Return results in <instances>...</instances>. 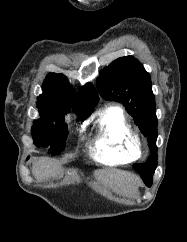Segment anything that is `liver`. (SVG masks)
I'll use <instances>...</instances> for the list:
<instances>
[{
    "label": "liver",
    "mask_w": 187,
    "mask_h": 242,
    "mask_svg": "<svg viewBox=\"0 0 187 242\" xmlns=\"http://www.w3.org/2000/svg\"><path fill=\"white\" fill-rule=\"evenodd\" d=\"M32 174L38 181L48 180L57 176L58 166L50 159L40 158L34 161ZM95 176L114 192L123 195L131 194L138 181L135 175L120 170H99Z\"/></svg>",
    "instance_id": "6515ba94"
}]
</instances>
